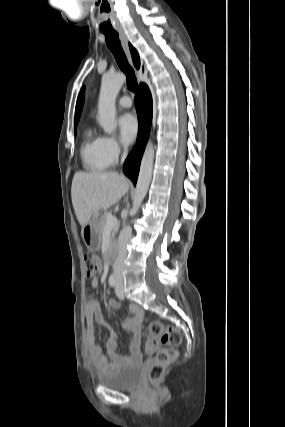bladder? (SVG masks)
<instances>
[{
  "label": "bladder",
  "mask_w": 285,
  "mask_h": 427,
  "mask_svg": "<svg viewBox=\"0 0 285 427\" xmlns=\"http://www.w3.org/2000/svg\"><path fill=\"white\" fill-rule=\"evenodd\" d=\"M141 378L142 364L139 362L125 366L118 371L100 373L97 376L99 383L117 390L135 389L140 384Z\"/></svg>",
  "instance_id": "31cf9c89"
}]
</instances>
